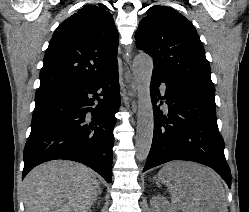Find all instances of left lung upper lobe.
Here are the masks:
<instances>
[{
	"label": "left lung upper lobe",
	"mask_w": 249,
	"mask_h": 212,
	"mask_svg": "<svg viewBox=\"0 0 249 212\" xmlns=\"http://www.w3.org/2000/svg\"><path fill=\"white\" fill-rule=\"evenodd\" d=\"M135 39L137 48L153 58L154 71L215 91L202 42L192 23L176 10L149 8Z\"/></svg>",
	"instance_id": "1"
}]
</instances>
